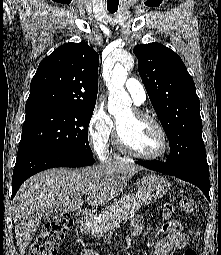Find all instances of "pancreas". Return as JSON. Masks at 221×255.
Returning <instances> with one entry per match:
<instances>
[{"label":"pancreas","instance_id":"cf45deb5","mask_svg":"<svg viewBox=\"0 0 221 255\" xmlns=\"http://www.w3.org/2000/svg\"><path fill=\"white\" fill-rule=\"evenodd\" d=\"M143 203V200L137 194H124L111 206L106 207L100 216H94L87 225V229L93 234L101 236L113 230L121 221L134 217Z\"/></svg>","mask_w":221,"mask_h":255}]
</instances>
